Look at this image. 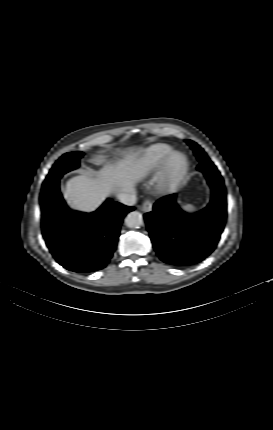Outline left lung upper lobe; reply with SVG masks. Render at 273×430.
<instances>
[{
    "label": "left lung upper lobe",
    "instance_id": "1",
    "mask_svg": "<svg viewBox=\"0 0 273 430\" xmlns=\"http://www.w3.org/2000/svg\"><path fill=\"white\" fill-rule=\"evenodd\" d=\"M187 144L192 148L199 162H205L210 160L204 150L194 141L186 140Z\"/></svg>",
    "mask_w": 273,
    "mask_h": 430
}]
</instances>
